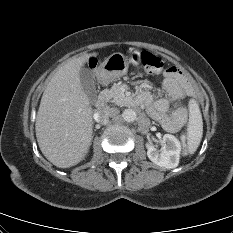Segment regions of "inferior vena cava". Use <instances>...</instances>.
Listing matches in <instances>:
<instances>
[{
  "mask_svg": "<svg viewBox=\"0 0 233 233\" xmlns=\"http://www.w3.org/2000/svg\"><path fill=\"white\" fill-rule=\"evenodd\" d=\"M112 114H114V112L110 108L103 107L96 113V121L100 124H107Z\"/></svg>",
  "mask_w": 233,
  "mask_h": 233,
  "instance_id": "1",
  "label": "inferior vena cava"
}]
</instances>
